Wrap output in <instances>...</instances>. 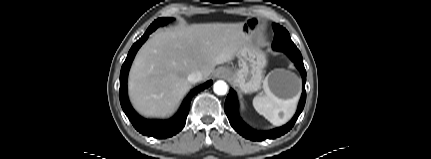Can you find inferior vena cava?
Masks as SVG:
<instances>
[{"mask_svg":"<svg viewBox=\"0 0 431 159\" xmlns=\"http://www.w3.org/2000/svg\"><path fill=\"white\" fill-rule=\"evenodd\" d=\"M203 79V73L201 71H194L188 76L190 83H197Z\"/></svg>","mask_w":431,"mask_h":159,"instance_id":"obj_1","label":"inferior vena cava"}]
</instances>
